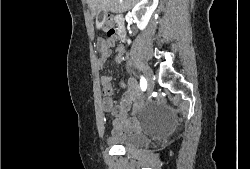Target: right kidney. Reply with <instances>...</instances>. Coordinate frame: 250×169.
<instances>
[{
	"label": "right kidney",
	"mask_w": 250,
	"mask_h": 169,
	"mask_svg": "<svg viewBox=\"0 0 250 169\" xmlns=\"http://www.w3.org/2000/svg\"><path fill=\"white\" fill-rule=\"evenodd\" d=\"M156 6H158V0H140L132 8V16L140 30L146 28ZM128 42L130 44V40Z\"/></svg>",
	"instance_id": "right-kidney-1"
}]
</instances>
